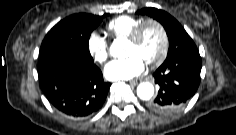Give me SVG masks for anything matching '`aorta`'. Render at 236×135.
<instances>
[{
    "instance_id": "762f6f07",
    "label": "aorta",
    "mask_w": 236,
    "mask_h": 135,
    "mask_svg": "<svg viewBox=\"0 0 236 135\" xmlns=\"http://www.w3.org/2000/svg\"><path fill=\"white\" fill-rule=\"evenodd\" d=\"M122 43L119 40H115L110 47V54L113 57L120 56V50ZM154 94V86L149 82L140 83L137 87V95L142 100H150Z\"/></svg>"
}]
</instances>
